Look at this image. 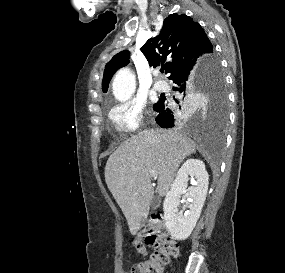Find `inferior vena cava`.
Returning <instances> with one entry per match:
<instances>
[{
	"label": "inferior vena cava",
	"mask_w": 285,
	"mask_h": 273,
	"mask_svg": "<svg viewBox=\"0 0 285 273\" xmlns=\"http://www.w3.org/2000/svg\"><path fill=\"white\" fill-rule=\"evenodd\" d=\"M143 134H144V135L149 134V131L145 130V131L143 132Z\"/></svg>",
	"instance_id": "inferior-vena-cava-1"
}]
</instances>
